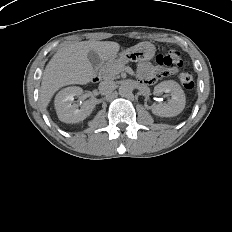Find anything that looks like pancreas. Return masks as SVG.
Masks as SVG:
<instances>
[{
  "label": "pancreas",
  "instance_id": "pancreas-1",
  "mask_svg": "<svg viewBox=\"0 0 232 232\" xmlns=\"http://www.w3.org/2000/svg\"><path fill=\"white\" fill-rule=\"evenodd\" d=\"M128 61L124 59L110 60L102 66V74L105 79H115L123 71Z\"/></svg>",
  "mask_w": 232,
  "mask_h": 232
}]
</instances>
